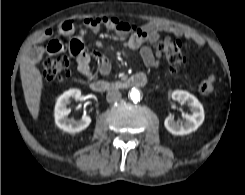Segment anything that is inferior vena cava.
I'll return each mask as SVG.
<instances>
[{"mask_svg": "<svg viewBox=\"0 0 245 195\" xmlns=\"http://www.w3.org/2000/svg\"><path fill=\"white\" fill-rule=\"evenodd\" d=\"M120 98H121V93L119 91H116V90L109 91L106 95V100L109 103L116 102V101L120 100Z\"/></svg>", "mask_w": 245, "mask_h": 195, "instance_id": "1", "label": "inferior vena cava"}]
</instances>
